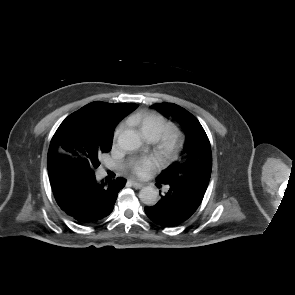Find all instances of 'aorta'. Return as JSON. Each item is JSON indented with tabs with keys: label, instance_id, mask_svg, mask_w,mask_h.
Masks as SVG:
<instances>
[{
	"label": "aorta",
	"instance_id": "aorta-1",
	"mask_svg": "<svg viewBox=\"0 0 295 295\" xmlns=\"http://www.w3.org/2000/svg\"><path fill=\"white\" fill-rule=\"evenodd\" d=\"M118 145L126 151H134L141 147V138L134 130H124L118 136ZM158 191L154 187L146 186L139 191V198L142 203L153 206L158 201Z\"/></svg>",
	"mask_w": 295,
	"mask_h": 295
}]
</instances>
